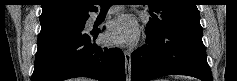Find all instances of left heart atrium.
<instances>
[{"label": "left heart atrium", "mask_w": 237, "mask_h": 81, "mask_svg": "<svg viewBox=\"0 0 237 81\" xmlns=\"http://www.w3.org/2000/svg\"><path fill=\"white\" fill-rule=\"evenodd\" d=\"M138 26L128 15H121L108 23L106 39L113 44H130L138 37Z\"/></svg>", "instance_id": "obj_1"}]
</instances>
